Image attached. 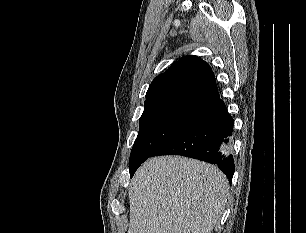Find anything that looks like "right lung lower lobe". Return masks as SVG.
<instances>
[{
  "label": "right lung lower lobe",
  "mask_w": 306,
  "mask_h": 233,
  "mask_svg": "<svg viewBox=\"0 0 306 233\" xmlns=\"http://www.w3.org/2000/svg\"><path fill=\"white\" fill-rule=\"evenodd\" d=\"M232 130L233 119L219 99L200 111L152 156L175 154L216 164L231 182L235 171L230 143Z\"/></svg>",
  "instance_id": "98d812e1"
}]
</instances>
